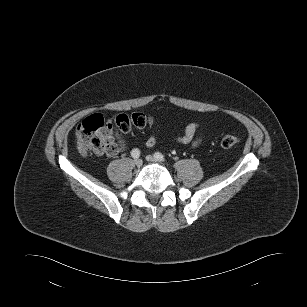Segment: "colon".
<instances>
[{
	"instance_id": "5ec220e1",
	"label": "colon",
	"mask_w": 307,
	"mask_h": 307,
	"mask_svg": "<svg viewBox=\"0 0 307 307\" xmlns=\"http://www.w3.org/2000/svg\"><path fill=\"white\" fill-rule=\"evenodd\" d=\"M153 123V119L144 113L119 114L114 118L113 124L121 133H128L133 128H144ZM112 124H107L100 114L86 117L76 127V138L81 151L106 152L108 149L107 130ZM239 143V137L234 134L225 135L221 146L232 148Z\"/></svg>"
}]
</instances>
